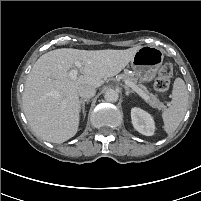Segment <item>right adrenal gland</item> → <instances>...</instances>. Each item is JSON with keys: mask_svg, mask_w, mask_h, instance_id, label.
<instances>
[{"mask_svg": "<svg viewBox=\"0 0 201 201\" xmlns=\"http://www.w3.org/2000/svg\"><path fill=\"white\" fill-rule=\"evenodd\" d=\"M86 102H89V100H88V99H82V100H80V103H81V110H82V113H83L84 118H85V116H86V109H85V103H86Z\"/></svg>", "mask_w": 201, "mask_h": 201, "instance_id": "obj_1", "label": "right adrenal gland"}]
</instances>
